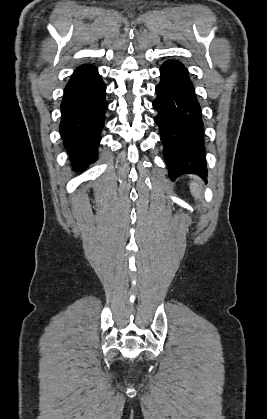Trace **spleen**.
I'll use <instances>...</instances> for the list:
<instances>
[{
  "mask_svg": "<svg viewBox=\"0 0 267 419\" xmlns=\"http://www.w3.org/2000/svg\"><path fill=\"white\" fill-rule=\"evenodd\" d=\"M190 190L192 195L195 196L196 199H199L201 197V188L197 182H191Z\"/></svg>",
  "mask_w": 267,
  "mask_h": 419,
  "instance_id": "obj_1",
  "label": "spleen"
}]
</instances>
